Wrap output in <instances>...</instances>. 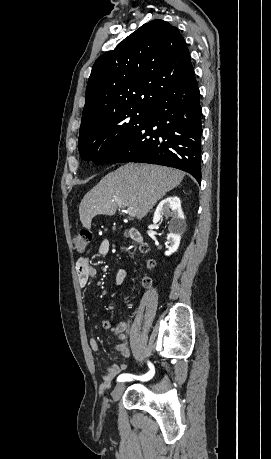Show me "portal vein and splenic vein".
<instances>
[{"label": "portal vein and splenic vein", "mask_w": 271, "mask_h": 459, "mask_svg": "<svg viewBox=\"0 0 271 459\" xmlns=\"http://www.w3.org/2000/svg\"><path fill=\"white\" fill-rule=\"evenodd\" d=\"M126 214H129V216H136L135 214V208H127V210H125Z\"/></svg>", "instance_id": "18ae733b"}]
</instances>
